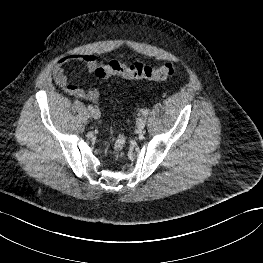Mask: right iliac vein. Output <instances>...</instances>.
Segmentation results:
<instances>
[{
    "instance_id": "63e3f726",
    "label": "right iliac vein",
    "mask_w": 263,
    "mask_h": 263,
    "mask_svg": "<svg viewBox=\"0 0 263 263\" xmlns=\"http://www.w3.org/2000/svg\"><path fill=\"white\" fill-rule=\"evenodd\" d=\"M91 116L94 118V119H99L100 118V111L98 109H93L91 111Z\"/></svg>"
}]
</instances>
